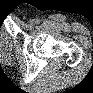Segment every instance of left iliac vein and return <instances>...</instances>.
I'll return each instance as SVG.
<instances>
[{"label":"left iliac vein","instance_id":"left-iliac-vein-1","mask_svg":"<svg viewBox=\"0 0 93 93\" xmlns=\"http://www.w3.org/2000/svg\"><path fill=\"white\" fill-rule=\"evenodd\" d=\"M29 23L32 25V24L34 23V20L31 19V20L29 21Z\"/></svg>","mask_w":93,"mask_h":93}]
</instances>
